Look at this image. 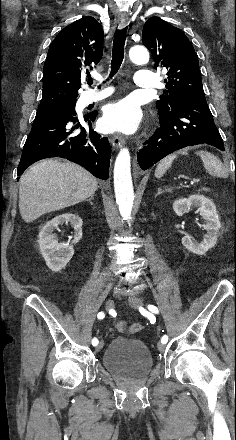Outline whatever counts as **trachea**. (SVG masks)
I'll list each match as a JSON object with an SVG mask.
<instances>
[{"label": "trachea", "mask_w": 236, "mask_h": 440, "mask_svg": "<svg viewBox=\"0 0 236 440\" xmlns=\"http://www.w3.org/2000/svg\"><path fill=\"white\" fill-rule=\"evenodd\" d=\"M126 33L127 27H124L122 29H118L115 34L112 49L111 72L109 78H112L118 72L123 62ZM88 84H93L92 79H88ZM98 88H100V86H98Z\"/></svg>", "instance_id": "obj_1"}]
</instances>
